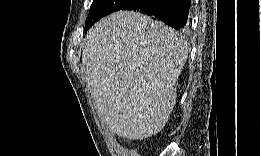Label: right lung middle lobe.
<instances>
[{
	"instance_id": "obj_1",
	"label": "right lung middle lobe",
	"mask_w": 261,
	"mask_h": 156,
	"mask_svg": "<svg viewBox=\"0 0 261 156\" xmlns=\"http://www.w3.org/2000/svg\"><path fill=\"white\" fill-rule=\"evenodd\" d=\"M129 2L130 0H94L90 9V17L87 18L84 30L87 31L100 18L120 10Z\"/></svg>"
}]
</instances>
